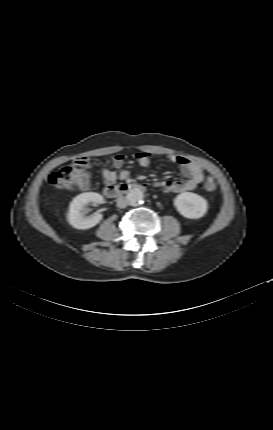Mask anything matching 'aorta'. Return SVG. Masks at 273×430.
<instances>
[{
	"mask_svg": "<svg viewBox=\"0 0 273 430\" xmlns=\"http://www.w3.org/2000/svg\"><path fill=\"white\" fill-rule=\"evenodd\" d=\"M144 194L139 188L131 189L126 196L127 202L131 206H138L142 203Z\"/></svg>",
	"mask_w": 273,
	"mask_h": 430,
	"instance_id": "obj_1",
	"label": "aorta"
}]
</instances>
